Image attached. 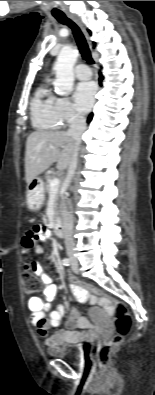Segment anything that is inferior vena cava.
Returning <instances> with one entry per match:
<instances>
[{
	"mask_svg": "<svg viewBox=\"0 0 155 395\" xmlns=\"http://www.w3.org/2000/svg\"><path fill=\"white\" fill-rule=\"evenodd\" d=\"M86 130V119L84 116L79 114H75L70 120V126L68 129V135L72 137L75 143V148L73 155L71 157L67 176L65 179V186L68 187L71 183V180L75 174L77 163H78V149L81 144V137L84 131ZM73 223L74 217L70 211L66 210L64 214V222H63V229H64V236H65V246L67 253L69 255L73 254L74 250V240H73Z\"/></svg>",
	"mask_w": 155,
	"mask_h": 395,
	"instance_id": "obj_1",
	"label": "inferior vena cava"
}]
</instances>
